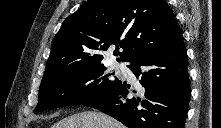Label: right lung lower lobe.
I'll return each mask as SVG.
<instances>
[{"label":"right lung lower lobe","mask_w":221,"mask_h":128,"mask_svg":"<svg viewBox=\"0 0 221 128\" xmlns=\"http://www.w3.org/2000/svg\"><path fill=\"white\" fill-rule=\"evenodd\" d=\"M129 62L128 68L144 88L141 98L121 102L119 96L126 97L130 87L124 82L83 105L110 115L128 128H184L191 93L184 41Z\"/></svg>","instance_id":"1"}]
</instances>
